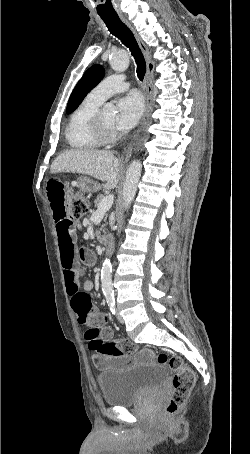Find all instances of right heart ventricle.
I'll return each mask as SVG.
<instances>
[{"mask_svg":"<svg viewBox=\"0 0 250 454\" xmlns=\"http://www.w3.org/2000/svg\"><path fill=\"white\" fill-rule=\"evenodd\" d=\"M100 105L101 103L87 97L72 112L65 131V137L71 149L92 150L101 145L91 127V119Z\"/></svg>","mask_w":250,"mask_h":454,"instance_id":"right-heart-ventricle-1","label":"right heart ventricle"}]
</instances>
